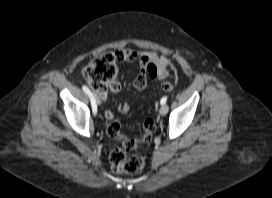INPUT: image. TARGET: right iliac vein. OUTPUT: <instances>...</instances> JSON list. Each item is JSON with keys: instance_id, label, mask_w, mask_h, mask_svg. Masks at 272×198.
Instances as JSON below:
<instances>
[{"instance_id": "obj_1", "label": "right iliac vein", "mask_w": 272, "mask_h": 198, "mask_svg": "<svg viewBox=\"0 0 272 198\" xmlns=\"http://www.w3.org/2000/svg\"><path fill=\"white\" fill-rule=\"evenodd\" d=\"M94 99H95V101H96L97 104H100V100H99L98 96L95 95Z\"/></svg>"}]
</instances>
